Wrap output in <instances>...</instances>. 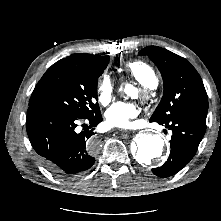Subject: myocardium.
<instances>
[{
	"label": "myocardium",
	"mask_w": 221,
	"mask_h": 221,
	"mask_svg": "<svg viewBox=\"0 0 221 221\" xmlns=\"http://www.w3.org/2000/svg\"><path fill=\"white\" fill-rule=\"evenodd\" d=\"M140 96L143 99H147L149 97V94L144 90H140Z\"/></svg>",
	"instance_id": "f54148a6"
}]
</instances>
